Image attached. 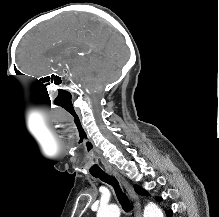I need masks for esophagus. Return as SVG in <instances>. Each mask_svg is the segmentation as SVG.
<instances>
[{"instance_id":"1","label":"esophagus","mask_w":219,"mask_h":217,"mask_svg":"<svg viewBox=\"0 0 219 217\" xmlns=\"http://www.w3.org/2000/svg\"><path fill=\"white\" fill-rule=\"evenodd\" d=\"M108 173L117 178V180L124 186L126 189L130 200L134 206L135 217H142L141 203L138 195L134 191L132 185L115 169H108Z\"/></svg>"}]
</instances>
